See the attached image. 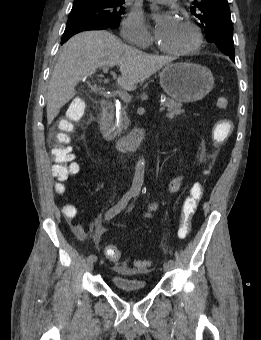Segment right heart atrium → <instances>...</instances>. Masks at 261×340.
Returning a JSON list of instances; mask_svg holds the SVG:
<instances>
[{"instance_id":"obj_1","label":"right heart atrium","mask_w":261,"mask_h":340,"mask_svg":"<svg viewBox=\"0 0 261 340\" xmlns=\"http://www.w3.org/2000/svg\"><path fill=\"white\" fill-rule=\"evenodd\" d=\"M121 36L125 41L142 48L149 47L153 42L143 16L138 11L130 12L125 18L121 27Z\"/></svg>"}]
</instances>
